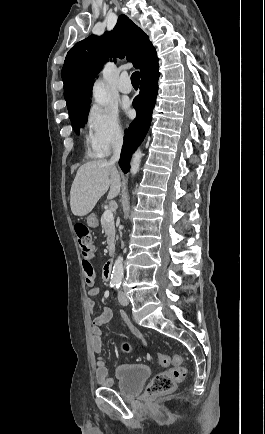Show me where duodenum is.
I'll return each mask as SVG.
<instances>
[{
	"mask_svg": "<svg viewBox=\"0 0 265 434\" xmlns=\"http://www.w3.org/2000/svg\"><path fill=\"white\" fill-rule=\"evenodd\" d=\"M113 266H114V261H112V260H108L104 265L103 278L107 281L111 277Z\"/></svg>",
	"mask_w": 265,
	"mask_h": 434,
	"instance_id": "duodenum-1",
	"label": "duodenum"
}]
</instances>
